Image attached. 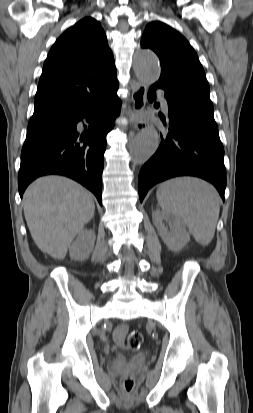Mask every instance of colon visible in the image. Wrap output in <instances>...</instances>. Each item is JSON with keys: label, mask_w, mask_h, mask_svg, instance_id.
Masks as SVG:
<instances>
[{"label": "colon", "mask_w": 253, "mask_h": 413, "mask_svg": "<svg viewBox=\"0 0 253 413\" xmlns=\"http://www.w3.org/2000/svg\"><path fill=\"white\" fill-rule=\"evenodd\" d=\"M143 342V335L138 331H132L127 339V344L131 349H137ZM134 378L130 373L125 374L120 381V387L123 393L129 395L134 390Z\"/></svg>", "instance_id": "1"}]
</instances>
